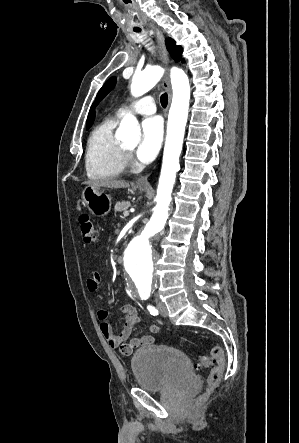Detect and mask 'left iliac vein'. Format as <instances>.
Listing matches in <instances>:
<instances>
[{"label":"left iliac vein","mask_w":299,"mask_h":443,"mask_svg":"<svg viewBox=\"0 0 299 443\" xmlns=\"http://www.w3.org/2000/svg\"><path fill=\"white\" fill-rule=\"evenodd\" d=\"M158 309H159V311H160V314H161L163 317H167V315H168V311H167L166 305H165L163 302H159V303H158Z\"/></svg>","instance_id":"4c4485c4"}]
</instances>
